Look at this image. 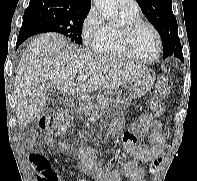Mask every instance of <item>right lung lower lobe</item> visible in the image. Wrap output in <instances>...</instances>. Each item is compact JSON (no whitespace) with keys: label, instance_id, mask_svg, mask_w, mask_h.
<instances>
[{"label":"right lung lower lobe","instance_id":"98d812e1","mask_svg":"<svg viewBox=\"0 0 197 181\" xmlns=\"http://www.w3.org/2000/svg\"><path fill=\"white\" fill-rule=\"evenodd\" d=\"M35 34H36L35 32H33L29 29L21 28L20 32H19L18 40H17V43H16V48H18L20 46V44L23 41H25L27 38H29L30 36L35 35Z\"/></svg>","mask_w":197,"mask_h":181}]
</instances>
